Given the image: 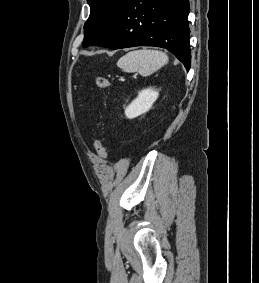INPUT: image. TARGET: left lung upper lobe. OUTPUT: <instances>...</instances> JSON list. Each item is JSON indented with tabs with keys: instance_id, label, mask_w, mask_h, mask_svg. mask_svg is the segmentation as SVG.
<instances>
[{
	"instance_id": "left-lung-upper-lobe-1",
	"label": "left lung upper lobe",
	"mask_w": 259,
	"mask_h": 283,
	"mask_svg": "<svg viewBox=\"0 0 259 283\" xmlns=\"http://www.w3.org/2000/svg\"><path fill=\"white\" fill-rule=\"evenodd\" d=\"M127 0H87L90 16L84 25L83 47L94 45L110 30Z\"/></svg>"
}]
</instances>
